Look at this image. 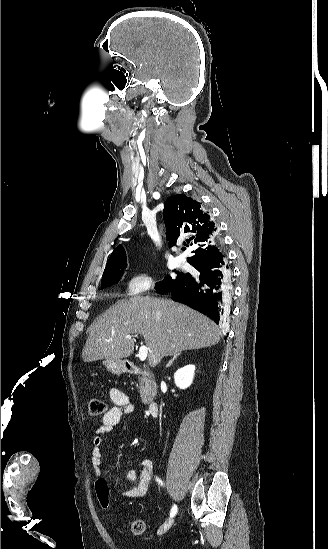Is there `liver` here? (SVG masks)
I'll return each mask as SVG.
<instances>
[{"label": "liver", "instance_id": "obj_1", "mask_svg": "<svg viewBox=\"0 0 328 549\" xmlns=\"http://www.w3.org/2000/svg\"><path fill=\"white\" fill-rule=\"evenodd\" d=\"M132 333L142 335L150 367H157L168 355L212 347L220 341L214 321L199 311L172 299L137 295L117 301L95 319L82 351L84 363L130 357L135 339H127L126 335Z\"/></svg>", "mask_w": 328, "mask_h": 549}]
</instances>
